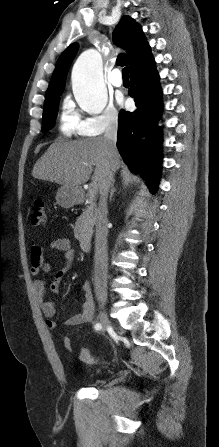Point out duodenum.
<instances>
[{"instance_id": "duodenum-1", "label": "duodenum", "mask_w": 219, "mask_h": 447, "mask_svg": "<svg viewBox=\"0 0 219 447\" xmlns=\"http://www.w3.org/2000/svg\"><path fill=\"white\" fill-rule=\"evenodd\" d=\"M92 241L89 238H82L80 240V248L83 252L88 253L91 248Z\"/></svg>"}]
</instances>
